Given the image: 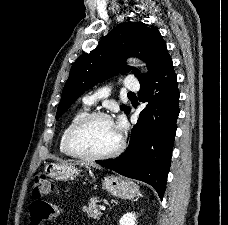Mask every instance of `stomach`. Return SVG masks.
Segmentation results:
<instances>
[{"label":"stomach","instance_id":"1","mask_svg":"<svg viewBox=\"0 0 228 225\" xmlns=\"http://www.w3.org/2000/svg\"><path fill=\"white\" fill-rule=\"evenodd\" d=\"M44 173L54 181H66L70 177H77L81 171L65 163H48L45 165ZM103 187L109 195L118 199H134L140 195L139 187L133 181H125L121 177H104Z\"/></svg>","mask_w":228,"mask_h":225}]
</instances>
